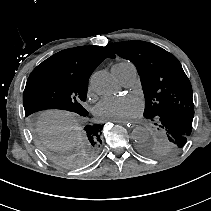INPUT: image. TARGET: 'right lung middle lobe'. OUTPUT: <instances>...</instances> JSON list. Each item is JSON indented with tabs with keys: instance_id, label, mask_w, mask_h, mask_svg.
Returning <instances> with one entry per match:
<instances>
[{
	"instance_id": "1",
	"label": "right lung middle lobe",
	"mask_w": 211,
	"mask_h": 211,
	"mask_svg": "<svg viewBox=\"0 0 211 211\" xmlns=\"http://www.w3.org/2000/svg\"><path fill=\"white\" fill-rule=\"evenodd\" d=\"M88 79L69 74L33 70L23 94L25 117L43 153L55 164L64 168H77L90 164L99 154L103 125L82 126L86 141L79 153H66L54 144V133L58 127L56 119L47 111L61 109L86 117L88 112L82 102L86 100Z\"/></svg>"
}]
</instances>
